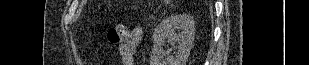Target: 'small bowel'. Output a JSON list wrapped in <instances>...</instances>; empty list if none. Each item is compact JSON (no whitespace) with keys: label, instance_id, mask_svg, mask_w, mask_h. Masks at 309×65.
<instances>
[{"label":"small bowel","instance_id":"c3829d8e","mask_svg":"<svg viewBox=\"0 0 309 65\" xmlns=\"http://www.w3.org/2000/svg\"><path fill=\"white\" fill-rule=\"evenodd\" d=\"M142 28L136 27L128 31L118 45V52L124 65H136V50L142 40Z\"/></svg>","mask_w":309,"mask_h":65}]
</instances>
